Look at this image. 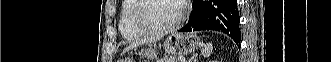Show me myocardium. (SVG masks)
I'll use <instances>...</instances> for the list:
<instances>
[{"label": "myocardium", "mask_w": 331, "mask_h": 62, "mask_svg": "<svg viewBox=\"0 0 331 62\" xmlns=\"http://www.w3.org/2000/svg\"><path fill=\"white\" fill-rule=\"evenodd\" d=\"M148 1L149 0H137V4H136V7H135L134 13H133V23L138 30H140L144 34L154 35V34H163V33L173 31L180 26L181 22L184 19L185 12H186L185 1L177 0L179 2L180 11H179L178 17L175 19V21L173 23H171L170 25H167V26H158V27L150 25L142 17L143 9Z\"/></svg>", "instance_id": "obj_1"}]
</instances>
